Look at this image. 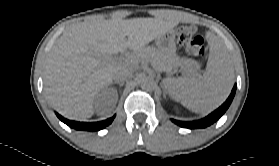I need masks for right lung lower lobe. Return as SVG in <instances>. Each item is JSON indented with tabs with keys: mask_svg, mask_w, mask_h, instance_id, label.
I'll list each match as a JSON object with an SVG mask.
<instances>
[{
	"mask_svg": "<svg viewBox=\"0 0 279 166\" xmlns=\"http://www.w3.org/2000/svg\"><path fill=\"white\" fill-rule=\"evenodd\" d=\"M58 118L64 122L65 124H67L68 126L77 129V130H86V131H97V130H101L103 128H105L106 126H108L109 124L112 123L114 117L109 118L107 120L104 121H100V122H91V123H87V122H76V121H70L67 120L65 118H63L62 116H60L59 114H57Z\"/></svg>",
	"mask_w": 279,
	"mask_h": 166,
	"instance_id": "98d812e1",
	"label": "right lung lower lobe"
}]
</instances>
